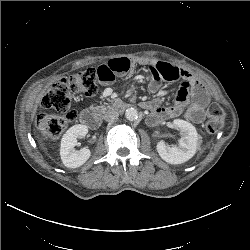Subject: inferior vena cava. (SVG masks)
Listing matches in <instances>:
<instances>
[{"mask_svg": "<svg viewBox=\"0 0 250 250\" xmlns=\"http://www.w3.org/2000/svg\"><path fill=\"white\" fill-rule=\"evenodd\" d=\"M118 116H119V113L117 111L109 110L104 114L103 119L106 122H113L118 118Z\"/></svg>", "mask_w": 250, "mask_h": 250, "instance_id": "obj_1", "label": "inferior vena cava"}]
</instances>
